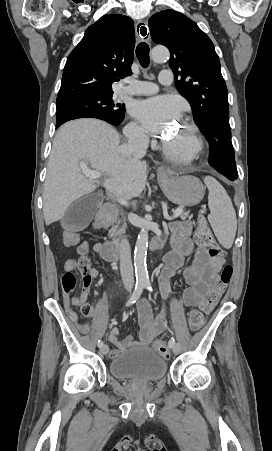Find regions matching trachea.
Returning a JSON list of instances; mask_svg holds the SVG:
<instances>
[{
    "label": "trachea",
    "mask_w": 272,
    "mask_h": 451,
    "mask_svg": "<svg viewBox=\"0 0 272 451\" xmlns=\"http://www.w3.org/2000/svg\"><path fill=\"white\" fill-rule=\"evenodd\" d=\"M136 55L142 67H148L150 59H149V46L147 43L145 42L139 43V45L136 48Z\"/></svg>",
    "instance_id": "obj_1"
}]
</instances>
